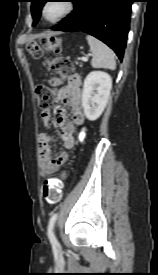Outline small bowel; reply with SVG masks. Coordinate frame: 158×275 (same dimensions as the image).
Segmentation results:
<instances>
[{"mask_svg":"<svg viewBox=\"0 0 158 275\" xmlns=\"http://www.w3.org/2000/svg\"><path fill=\"white\" fill-rule=\"evenodd\" d=\"M60 79H53L52 83H60ZM81 79L78 74H73L66 82L61 92V101L70 107L71 120L67 119V112L64 108L59 109L55 114V121L61 128L60 138L65 150L57 155H52L50 143L52 135L40 133L38 136V146L40 154V172L42 176L52 175L57 169L69 159L68 151L75 146L74 129L84 122L82 111V95L80 90ZM42 120L46 125L50 122V111H42Z\"/></svg>","mask_w":158,"mask_h":275,"instance_id":"c3829d8e","label":"small bowel"}]
</instances>
